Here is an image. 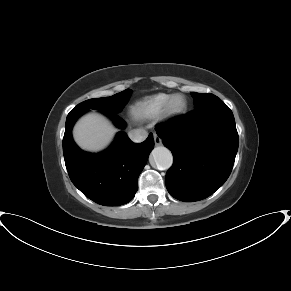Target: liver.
Wrapping results in <instances>:
<instances>
[{
	"instance_id": "6515ba94",
	"label": "liver",
	"mask_w": 291,
	"mask_h": 291,
	"mask_svg": "<svg viewBox=\"0 0 291 291\" xmlns=\"http://www.w3.org/2000/svg\"><path fill=\"white\" fill-rule=\"evenodd\" d=\"M116 131L104 116L91 112L84 115L76 123L73 137L83 150L98 152L111 142Z\"/></svg>"
}]
</instances>
